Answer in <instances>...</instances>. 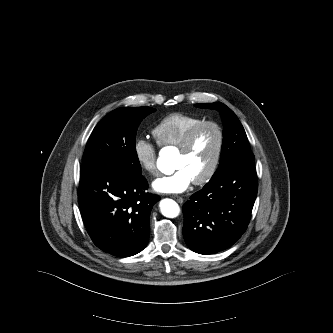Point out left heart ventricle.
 <instances>
[{"mask_svg": "<svg viewBox=\"0 0 333 333\" xmlns=\"http://www.w3.org/2000/svg\"><path fill=\"white\" fill-rule=\"evenodd\" d=\"M217 146V133L213 127H206L197 135L189 153L178 152L175 168H183L193 180L201 177L209 168Z\"/></svg>", "mask_w": 333, "mask_h": 333, "instance_id": "obj_1", "label": "left heart ventricle"}]
</instances>
